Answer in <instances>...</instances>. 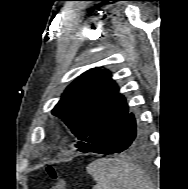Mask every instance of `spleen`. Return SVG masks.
<instances>
[{
  "label": "spleen",
  "instance_id": "1",
  "mask_svg": "<svg viewBox=\"0 0 188 189\" xmlns=\"http://www.w3.org/2000/svg\"><path fill=\"white\" fill-rule=\"evenodd\" d=\"M97 182L93 189H147L148 181L135 166L121 159H97L87 166Z\"/></svg>",
  "mask_w": 188,
  "mask_h": 189
}]
</instances>
